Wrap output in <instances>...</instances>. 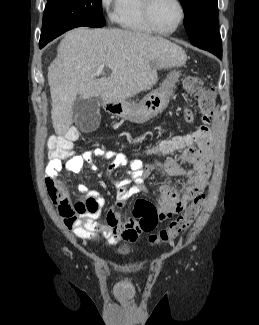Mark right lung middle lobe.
<instances>
[{
    "label": "right lung middle lobe",
    "mask_w": 259,
    "mask_h": 325,
    "mask_svg": "<svg viewBox=\"0 0 259 325\" xmlns=\"http://www.w3.org/2000/svg\"><path fill=\"white\" fill-rule=\"evenodd\" d=\"M101 0H47L39 43H48L80 26L102 27Z\"/></svg>",
    "instance_id": "dd1d6c3e"
}]
</instances>
